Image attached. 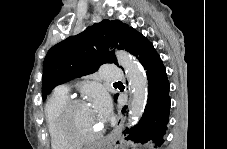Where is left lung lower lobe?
<instances>
[{
	"label": "left lung lower lobe",
	"mask_w": 227,
	"mask_h": 149,
	"mask_svg": "<svg viewBox=\"0 0 227 149\" xmlns=\"http://www.w3.org/2000/svg\"><path fill=\"white\" fill-rule=\"evenodd\" d=\"M127 51L133 54L146 70L148 79V100L139 124L128 132L127 140L142 143L155 140L156 145L163 143L169 120L170 97L169 82L163 62L147 38L136 30L132 31ZM118 95H115L117 100ZM126 106L122 109L125 113Z\"/></svg>",
	"instance_id": "0a47b994"
}]
</instances>
